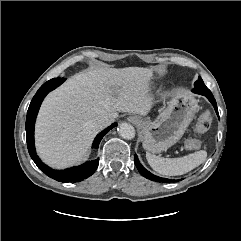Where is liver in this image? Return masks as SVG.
I'll return each mask as SVG.
<instances>
[{
	"label": "liver",
	"mask_w": 241,
	"mask_h": 241,
	"mask_svg": "<svg viewBox=\"0 0 241 241\" xmlns=\"http://www.w3.org/2000/svg\"><path fill=\"white\" fill-rule=\"evenodd\" d=\"M152 70L143 67L94 68L69 78L44 100L36 122L39 156L54 168L86 157L100 129L94 121L119 112L146 115L151 108Z\"/></svg>",
	"instance_id": "1"
}]
</instances>
